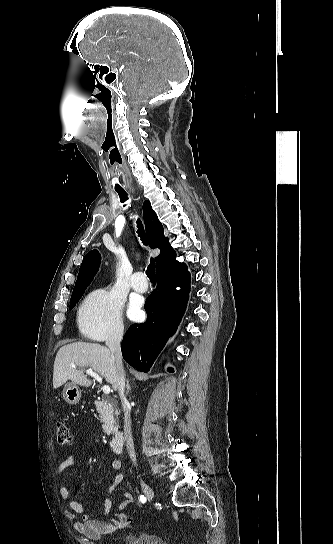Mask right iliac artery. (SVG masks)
Masks as SVG:
<instances>
[{
    "label": "right iliac artery",
    "mask_w": 333,
    "mask_h": 544,
    "mask_svg": "<svg viewBox=\"0 0 333 544\" xmlns=\"http://www.w3.org/2000/svg\"><path fill=\"white\" fill-rule=\"evenodd\" d=\"M140 501H141V502H145V501H146V498H145L143 495H141V496H140Z\"/></svg>",
    "instance_id": "82829eb1"
}]
</instances>
